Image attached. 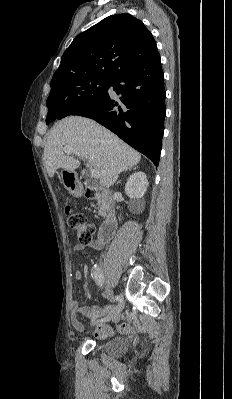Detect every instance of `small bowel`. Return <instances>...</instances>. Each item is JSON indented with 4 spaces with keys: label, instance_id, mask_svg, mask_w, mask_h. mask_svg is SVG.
Returning a JSON list of instances; mask_svg holds the SVG:
<instances>
[{
    "label": "small bowel",
    "instance_id": "c3829d8e",
    "mask_svg": "<svg viewBox=\"0 0 232 399\" xmlns=\"http://www.w3.org/2000/svg\"><path fill=\"white\" fill-rule=\"evenodd\" d=\"M104 244L102 242H79L76 245L77 250H83L86 248L91 249H102ZM85 268V261L83 259L78 260V278H82ZM70 311V322L74 330L78 333H83L86 329V325L79 319L78 312H81L88 319V326L91 328V333L96 337H105L114 331H127L135 332L143 327L141 322H116V323H100L94 319L95 315H106L113 319L117 318L121 312L118 306H80L79 298H73L69 305Z\"/></svg>",
    "mask_w": 232,
    "mask_h": 399
}]
</instances>
